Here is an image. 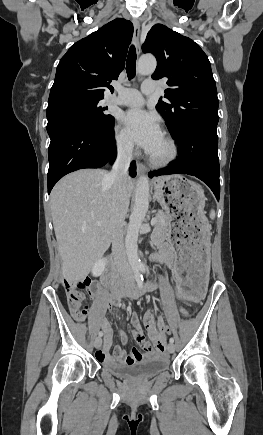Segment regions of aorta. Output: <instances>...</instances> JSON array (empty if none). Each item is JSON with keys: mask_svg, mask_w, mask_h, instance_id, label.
<instances>
[{"mask_svg": "<svg viewBox=\"0 0 263 435\" xmlns=\"http://www.w3.org/2000/svg\"><path fill=\"white\" fill-rule=\"evenodd\" d=\"M157 62L154 56H142L137 64V72L140 75H149L154 72ZM150 193L148 177H139L133 211L130 216L127 232L125 236V251L128 262L135 273L142 268V263L138 257V236L142 222L149 207Z\"/></svg>", "mask_w": 263, "mask_h": 435, "instance_id": "aorta-1", "label": "aorta"}]
</instances>
